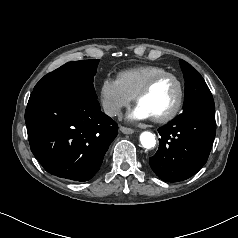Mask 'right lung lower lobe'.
Here are the masks:
<instances>
[{
    "label": "right lung lower lobe",
    "mask_w": 238,
    "mask_h": 238,
    "mask_svg": "<svg viewBox=\"0 0 238 238\" xmlns=\"http://www.w3.org/2000/svg\"><path fill=\"white\" fill-rule=\"evenodd\" d=\"M32 153L52 175L84 182L99 170L118 134L97 97L77 89L33 91L25 111Z\"/></svg>",
    "instance_id": "1"
}]
</instances>
